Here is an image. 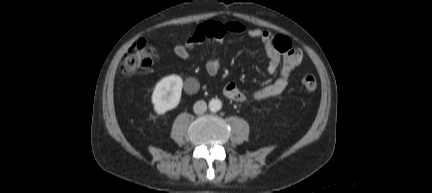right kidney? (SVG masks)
<instances>
[{
    "label": "right kidney",
    "mask_w": 432,
    "mask_h": 193,
    "mask_svg": "<svg viewBox=\"0 0 432 193\" xmlns=\"http://www.w3.org/2000/svg\"><path fill=\"white\" fill-rule=\"evenodd\" d=\"M183 80L178 75H169L162 78L152 93V104L157 114H165L176 108L181 99Z\"/></svg>",
    "instance_id": "ca27d5eb"
}]
</instances>
